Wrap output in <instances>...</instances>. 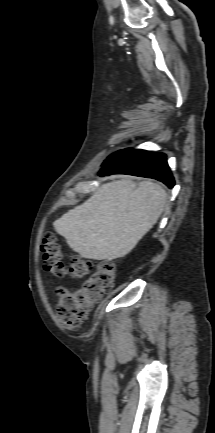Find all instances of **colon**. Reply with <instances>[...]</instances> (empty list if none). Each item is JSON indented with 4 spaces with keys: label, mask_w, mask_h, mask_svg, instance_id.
<instances>
[{
    "label": "colon",
    "mask_w": 215,
    "mask_h": 433,
    "mask_svg": "<svg viewBox=\"0 0 215 433\" xmlns=\"http://www.w3.org/2000/svg\"><path fill=\"white\" fill-rule=\"evenodd\" d=\"M41 253L47 270L56 277L69 274L74 278H83L89 275L78 288L58 290L56 314L59 323L65 328L80 326L88 319L94 304L114 287L115 265L108 260L94 264L80 256L72 257L70 264L66 265L61 245L51 231H45L42 236Z\"/></svg>",
    "instance_id": "1"
}]
</instances>
